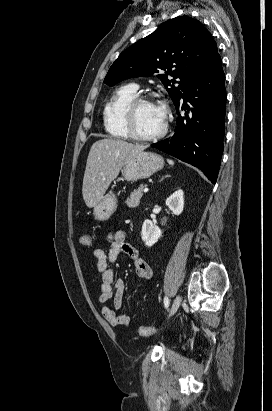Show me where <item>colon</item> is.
<instances>
[{"mask_svg": "<svg viewBox=\"0 0 272 411\" xmlns=\"http://www.w3.org/2000/svg\"><path fill=\"white\" fill-rule=\"evenodd\" d=\"M92 243V239L89 235H82L80 237V244L82 246H90ZM138 332L141 336L143 337H150V336H154L157 333H159V330L156 327H150V326H140L138 329Z\"/></svg>", "mask_w": 272, "mask_h": 411, "instance_id": "1", "label": "colon"}]
</instances>
